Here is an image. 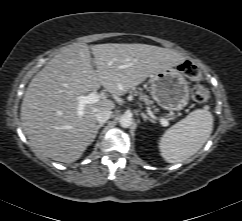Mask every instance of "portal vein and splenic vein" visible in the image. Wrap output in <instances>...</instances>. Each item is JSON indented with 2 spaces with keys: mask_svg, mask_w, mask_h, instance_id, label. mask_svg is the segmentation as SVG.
Instances as JSON below:
<instances>
[{
  "mask_svg": "<svg viewBox=\"0 0 242 221\" xmlns=\"http://www.w3.org/2000/svg\"><path fill=\"white\" fill-rule=\"evenodd\" d=\"M102 96L95 94V93H90L86 96L81 95V96H77L75 99L78 101V115L81 117L84 114V107L86 104H90V103H96L100 100ZM161 124L163 126H168L169 122L167 121V119L162 118L161 120Z\"/></svg>",
  "mask_w": 242,
  "mask_h": 221,
  "instance_id": "18ae733b",
  "label": "portal vein and splenic vein"
}]
</instances>
